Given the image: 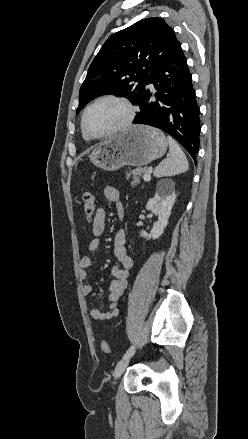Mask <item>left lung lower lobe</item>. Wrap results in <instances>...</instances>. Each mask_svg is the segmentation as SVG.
I'll list each match as a JSON object with an SVG mask.
<instances>
[{"label":"left lung lower lobe","instance_id":"left-lung-lower-lobe-1","mask_svg":"<svg viewBox=\"0 0 248 439\" xmlns=\"http://www.w3.org/2000/svg\"><path fill=\"white\" fill-rule=\"evenodd\" d=\"M149 84L156 89V100L148 88L140 112L133 123L159 128L174 137L196 161L199 149L200 109L192 85L191 73L179 41L156 69Z\"/></svg>","mask_w":248,"mask_h":439}]
</instances>
